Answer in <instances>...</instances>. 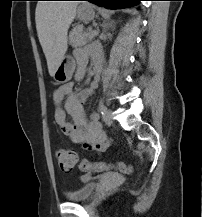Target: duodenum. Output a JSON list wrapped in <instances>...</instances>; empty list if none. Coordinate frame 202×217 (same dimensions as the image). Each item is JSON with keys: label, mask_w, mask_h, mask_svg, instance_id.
Here are the masks:
<instances>
[{"label": "duodenum", "mask_w": 202, "mask_h": 217, "mask_svg": "<svg viewBox=\"0 0 202 217\" xmlns=\"http://www.w3.org/2000/svg\"><path fill=\"white\" fill-rule=\"evenodd\" d=\"M93 71H94V79H98L99 78V67L93 68Z\"/></svg>", "instance_id": "duodenum-1"}]
</instances>
